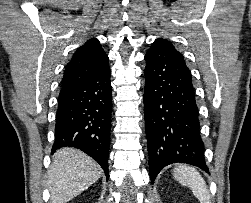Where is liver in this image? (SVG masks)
Here are the masks:
<instances>
[{"instance_id": "obj_1", "label": "liver", "mask_w": 251, "mask_h": 203, "mask_svg": "<svg viewBox=\"0 0 251 203\" xmlns=\"http://www.w3.org/2000/svg\"><path fill=\"white\" fill-rule=\"evenodd\" d=\"M101 174L99 165L80 150H58L54 154L47 181L51 203L70 201L95 183Z\"/></svg>"}]
</instances>
